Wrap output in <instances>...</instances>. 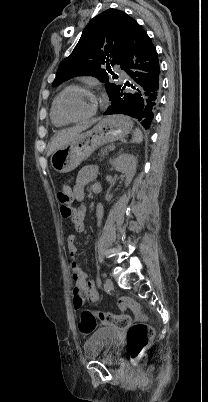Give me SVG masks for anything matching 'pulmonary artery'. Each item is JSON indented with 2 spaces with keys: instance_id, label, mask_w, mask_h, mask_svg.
I'll return each mask as SVG.
<instances>
[{
  "instance_id": "1",
  "label": "pulmonary artery",
  "mask_w": 208,
  "mask_h": 402,
  "mask_svg": "<svg viewBox=\"0 0 208 402\" xmlns=\"http://www.w3.org/2000/svg\"><path fill=\"white\" fill-rule=\"evenodd\" d=\"M115 70H116L117 72H122L120 66H118V65L115 66Z\"/></svg>"
}]
</instances>
